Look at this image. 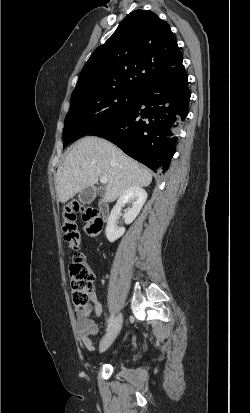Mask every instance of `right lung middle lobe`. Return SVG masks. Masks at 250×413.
<instances>
[{"label":"right lung middle lobe","mask_w":250,"mask_h":413,"mask_svg":"<svg viewBox=\"0 0 250 413\" xmlns=\"http://www.w3.org/2000/svg\"><path fill=\"white\" fill-rule=\"evenodd\" d=\"M138 92L135 88L119 87L72 94L65 118L63 147L118 116L135 101Z\"/></svg>","instance_id":"right-lung-middle-lobe-1"}]
</instances>
